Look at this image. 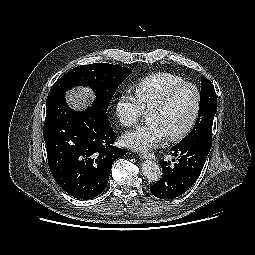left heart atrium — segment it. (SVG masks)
<instances>
[{
  "label": "left heart atrium",
  "instance_id": "obj_1",
  "mask_svg": "<svg viewBox=\"0 0 255 255\" xmlns=\"http://www.w3.org/2000/svg\"><path fill=\"white\" fill-rule=\"evenodd\" d=\"M166 137L163 129L157 123H148L126 131L120 138L123 146L138 152L151 150L161 144Z\"/></svg>",
  "mask_w": 255,
  "mask_h": 255
}]
</instances>
